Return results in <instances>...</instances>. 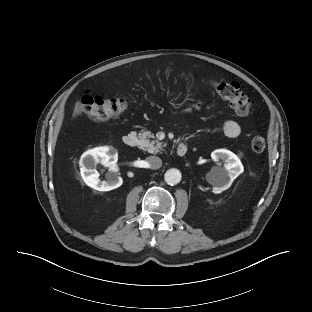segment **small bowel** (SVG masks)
<instances>
[{
    "mask_svg": "<svg viewBox=\"0 0 312 312\" xmlns=\"http://www.w3.org/2000/svg\"><path fill=\"white\" fill-rule=\"evenodd\" d=\"M202 106L201 101H194L189 103L185 106L175 108V112H179L182 114H190L194 111L200 110ZM223 133L225 136L229 138L238 137L241 134V127L240 125L234 120H226L223 124Z\"/></svg>",
    "mask_w": 312,
    "mask_h": 312,
    "instance_id": "obj_1",
    "label": "small bowel"
}]
</instances>
